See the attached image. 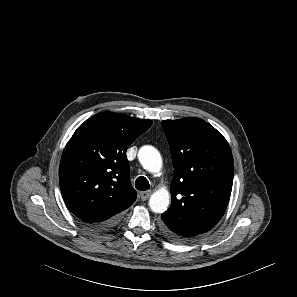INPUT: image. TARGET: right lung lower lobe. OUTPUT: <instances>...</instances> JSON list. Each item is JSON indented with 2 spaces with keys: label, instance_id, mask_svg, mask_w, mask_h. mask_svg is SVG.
Wrapping results in <instances>:
<instances>
[{
  "label": "right lung lower lobe",
  "instance_id": "1",
  "mask_svg": "<svg viewBox=\"0 0 297 297\" xmlns=\"http://www.w3.org/2000/svg\"><path fill=\"white\" fill-rule=\"evenodd\" d=\"M120 220V214L102 222V223H97V224H93V225H89V227H91L94 230H107L110 229L112 227H114L115 225H117L119 223Z\"/></svg>",
  "mask_w": 297,
  "mask_h": 297
}]
</instances>
